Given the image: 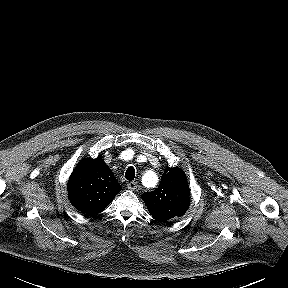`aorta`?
<instances>
[{
	"instance_id": "aorta-1",
	"label": "aorta",
	"mask_w": 288,
	"mask_h": 288,
	"mask_svg": "<svg viewBox=\"0 0 288 288\" xmlns=\"http://www.w3.org/2000/svg\"><path fill=\"white\" fill-rule=\"evenodd\" d=\"M143 179H144L145 184H147L149 187H155L157 185V182H158L157 175L152 171H148L144 175Z\"/></svg>"
}]
</instances>
